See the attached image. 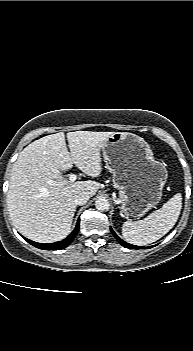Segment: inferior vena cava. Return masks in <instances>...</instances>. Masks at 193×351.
Masks as SVG:
<instances>
[{
    "label": "inferior vena cava",
    "mask_w": 193,
    "mask_h": 351,
    "mask_svg": "<svg viewBox=\"0 0 193 351\" xmlns=\"http://www.w3.org/2000/svg\"><path fill=\"white\" fill-rule=\"evenodd\" d=\"M90 195L88 192H80L76 198H75V204L76 205H83L85 203H87V201L89 200Z\"/></svg>",
    "instance_id": "inferior-vena-cava-1"
}]
</instances>
